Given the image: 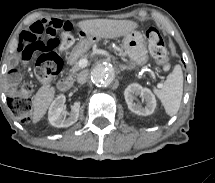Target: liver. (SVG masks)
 Masks as SVG:
<instances>
[{
    "instance_id": "1",
    "label": "liver",
    "mask_w": 215,
    "mask_h": 183,
    "mask_svg": "<svg viewBox=\"0 0 215 183\" xmlns=\"http://www.w3.org/2000/svg\"><path fill=\"white\" fill-rule=\"evenodd\" d=\"M77 27L90 37L114 39L132 32L138 28V24L130 20L93 19L80 21L77 23ZM54 96L55 88L50 84L40 87L32 101L33 123H37L43 118Z\"/></svg>"
}]
</instances>
